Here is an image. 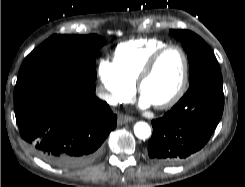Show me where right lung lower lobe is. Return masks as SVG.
<instances>
[{
	"mask_svg": "<svg viewBox=\"0 0 245 187\" xmlns=\"http://www.w3.org/2000/svg\"><path fill=\"white\" fill-rule=\"evenodd\" d=\"M14 110L21 137L45 162L63 169L92 163L117 125L95 95L94 80L58 68L18 75Z\"/></svg>",
	"mask_w": 245,
	"mask_h": 187,
	"instance_id": "right-lung-lower-lobe-1",
	"label": "right lung lower lobe"
}]
</instances>
